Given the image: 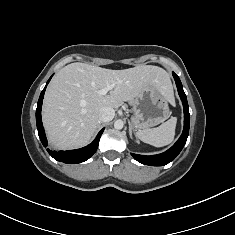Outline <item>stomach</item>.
I'll return each mask as SVG.
<instances>
[{
  "mask_svg": "<svg viewBox=\"0 0 235 235\" xmlns=\"http://www.w3.org/2000/svg\"><path fill=\"white\" fill-rule=\"evenodd\" d=\"M131 118L135 130H146L164 122L170 115L168 99L152 85L143 90L132 102Z\"/></svg>",
  "mask_w": 235,
  "mask_h": 235,
  "instance_id": "1",
  "label": "stomach"
}]
</instances>
